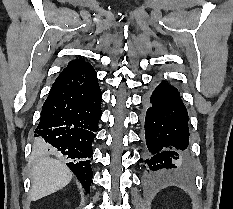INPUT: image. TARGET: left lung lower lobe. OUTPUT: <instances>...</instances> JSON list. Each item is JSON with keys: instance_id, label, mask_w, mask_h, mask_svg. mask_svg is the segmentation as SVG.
I'll list each match as a JSON object with an SVG mask.
<instances>
[{"instance_id": "1", "label": "left lung lower lobe", "mask_w": 233, "mask_h": 209, "mask_svg": "<svg viewBox=\"0 0 233 209\" xmlns=\"http://www.w3.org/2000/svg\"><path fill=\"white\" fill-rule=\"evenodd\" d=\"M145 138L149 150L148 171L172 170L185 160L188 142V113L178 90L161 81L147 100Z\"/></svg>"}]
</instances>
